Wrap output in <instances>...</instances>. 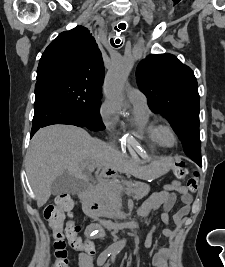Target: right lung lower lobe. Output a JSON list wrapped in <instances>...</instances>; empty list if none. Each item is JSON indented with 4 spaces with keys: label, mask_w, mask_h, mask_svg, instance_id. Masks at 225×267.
I'll return each instance as SVG.
<instances>
[{
    "label": "right lung lower lobe",
    "mask_w": 225,
    "mask_h": 267,
    "mask_svg": "<svg viewBox=\"0 0 225 267\" xmlns=\"http://www.w3.org/2000/svg\"><path fill=\"white\" fill-rule=\"evenodd\" d=\"M52 124H69L85 127V124L49 89L35 85L34 117L30 138L41 127Z\"/></svg>",
    "instance_id": "obj_1"
}]
</instances>
